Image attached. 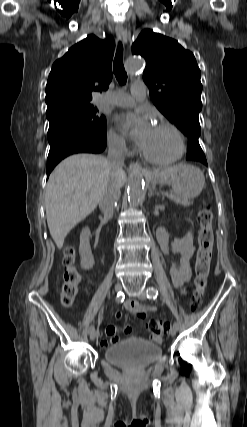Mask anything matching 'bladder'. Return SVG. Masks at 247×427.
<instances>
[{
  "label": "bladder",
  "instance_id": "31cf9c89",
  "mask_svg": "<svg viewBox=\"0 0 247 427\" xmlns=\"http://www.w3.org/2000/svg\"><path fill=\"white\" fill-rule=\"evenodd\" d=\"M161 354L159 345L136 339L118 342L104 350V358L109 363L131 370L152 364Z\"/></svg>",
  "mask_w": 247,
  "mask_h": 427
}]
</instances>
